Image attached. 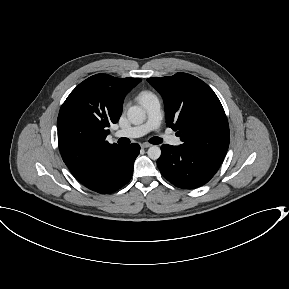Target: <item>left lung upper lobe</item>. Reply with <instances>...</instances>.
Returning a JSON list of instances; mask_svg holds the SVG:
<instances>
[{
	"mask_svg": "<svg viewBox=\"0 0 289 289\" xmlns=\"http://www.w3.org/2000/svg\"><path fill=\"white\" fill-rule=\"evenodd\" d=\"M147 80L161 94L167 126L177 131L181 145L223 159L229 146V125L214 91L187 73Z\"/></svg>",
	"mask_w": 289,
	"mask_h": 289,
	"instance_id": "5c2ea615",
	"label": "left lung upper lobe"
}]
</instances>
